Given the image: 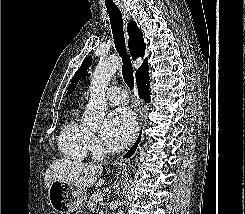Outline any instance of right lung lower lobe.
Instances as JSON below:
<instances>
[{"label": "right lung lower lobe", "instance_id": "1", "mask_svg": "<svg viewBox=\"0 0 245 214\" xmlns=\"http://www.w3.org/2000/svg\"><path fill=\"white\" fill-rule=\"evenodd\" d=\"M148 72L143 74L139 79L136 80L139 96L145 101L150 102V84H149Z\"/></svg>", "mask_w": 245, "mask_h": 214}]
</instances>
